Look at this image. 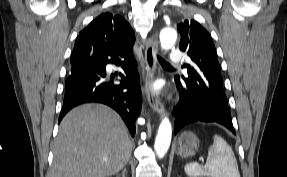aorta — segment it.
Wrapping results in <instances>:
<instances>
[{"mask_svg":"<svg viewBox=\"0 0 287 177\" xmlns=\"http://www.w3.org/2000/svg\"><path fill=\"white\" fill-rule=\"evenodd\" d=\"M160 42L162 49H170L177 39V33L174 29L164 28L160 32ZM172 138V125L167 117H164L159 125L155 139L154 149L158 158H163L167 153Z\"/></svg>","mask_w":287,"mask_h":177,"instance_id":"aorta-1","label":"aorta"}]
</instances>
